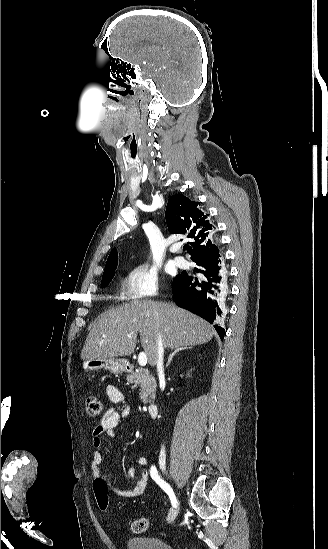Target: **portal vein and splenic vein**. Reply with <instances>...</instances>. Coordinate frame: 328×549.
I'll use <instances>...</instances> for the list:
<instances>
[{"label": "portal vein and splenic vein", "instance_id": "1", "mask_svg": "<svg viewBox=\"0 0 328 549\" xmlns=\"http://www.w3.org/2000/svg\"><path fill=\"white\" fill-rule=\"evenodd\" d=\"M127 337H131V335H127ZM147 355L146 353H139L138 355V363L140 365V367H145V365H147Z\"/></svg>", "mask_w": 328, "mask_h": 549}]
</instances>
